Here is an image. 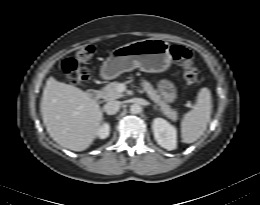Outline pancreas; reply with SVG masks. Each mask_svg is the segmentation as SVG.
Here are the masks:
<instances>
[{"mask_svg":"<svg viewBox=\"0 0 260 205\" xmlns=\"http://www.w3.org/2000/svg\"><path fill=\"white\" fill-rule=\"evenodd\" d=\"M121 83L119 82H111L107 84L100 91L101 97L105 101H111L115 99H119L123 97V94L119 91L118 87ZM141 86L143 90L147 93L148 97L159 106L162 113L172 121H176L178 118L177 111L172 109L170 105H168L164 100L161 99L160 95H158L157 91L153 88V86L146 80H141Z\"/></svg>","mask_w":260,"mask_h":205,"instance_id":"obj_1","label":"pancreas"}]
</instances>
